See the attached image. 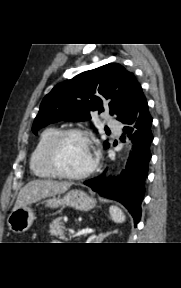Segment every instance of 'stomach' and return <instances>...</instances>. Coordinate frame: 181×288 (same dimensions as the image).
Returning a JSON list of instances; mask_svg holds the SVG:
<instances>
[{
  "label": "stomach",
  "instance_id": "0dacf381",
  "mask_svg": "<svg viewBox=\"0 0 181 288\" xmlns=\"http://www.w3.org/2000/svg\"><path fill=\"white\" fill-rule=\"evenodd\" d=\"M46 205L51 208L59 206H70L80 211H89L96 205V200L81 190H71L63 197L53 196L46 201ZM34 213L29 206L20 207L11 212L7 219L9 229L15 233H22L27 231L33 221Z\"/></svg>",
  "mask_w": 181,
  "mask_h": 288
}]
</instances>
